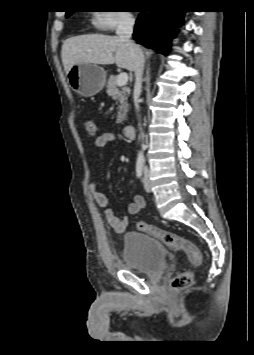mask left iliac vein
Wrapping results in <instances>:
<instances>
[{
	"mask_svg": "<svg viewBox=\"0 0 254 355\" xmlns=\"http://www.w3.org/2000/svg\"><path fill=\"white\" fill-rule=\"evenodd\" d=\"M144 188L147 192L151 191V182L149 179V169L144 167V177H143Z\"/></svg>",
	"mask_w": 254,
	"mask_h": 355,
	"instance_id": "4c4485c4",
	"label": "left iliac vein"
}]
</instances>
